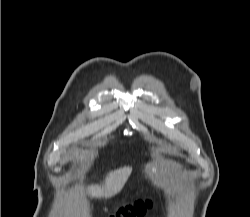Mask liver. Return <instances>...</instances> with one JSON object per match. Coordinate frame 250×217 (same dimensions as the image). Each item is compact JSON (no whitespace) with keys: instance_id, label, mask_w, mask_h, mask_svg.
<instances>
[{"instance_id":"liver-1","label":"liver","mask_w":250,"mask_h":217,"mask_svg":"<svg viewBox=\"0 0 250 217\" xmlns=\"http://www.w3.org/2000/svg\"><path fill=\"white\" fill-rule=\"evenodd\" d=\"M132 168L123 167L117 170L111 171L107 174L103 184H96L88 187V194L92 198H111L118 194L124 187Z\"/></svg>"}]
</instances>
